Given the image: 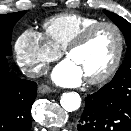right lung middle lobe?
<instances>
[{
    "label": "right lung middle lobe",
    "mask_w": 131,
    "mask_h": 131,
    "mask_svg": "<svg viewBox=\"0 0 131 131\" xmlns=\"http://www.w3.org/2000/svg\"><path fill=\"white\" fill-rule=\"evenodd\" d=\"M25 11L0 15V54H11L12 29Z\"/></svg>",
    "instance_id": "1"
}]
</instances>
